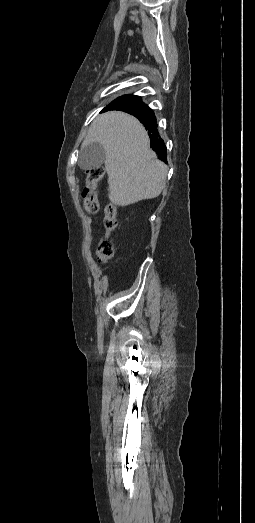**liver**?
Wrapping results in <instances>:
<instances>
[{"label": "liver", "mask_w": 255, "mask_h": 523, "mask_svg": "<svg viewBox=\"0 0 255 523\" xmlns=\"http://www.w3.org/2000/svg\"><path fill=\"white\" fill-rule=\"evenodd\" d=\"M99 142L106 150L109 200L129 206L160 196L168 168L157 160L149 136L136 118L124 112H107L95 118L81 146Z\"/></svg>", "instance_id": "6515ba94"}]
</instances>
